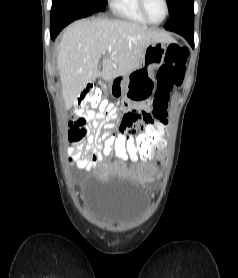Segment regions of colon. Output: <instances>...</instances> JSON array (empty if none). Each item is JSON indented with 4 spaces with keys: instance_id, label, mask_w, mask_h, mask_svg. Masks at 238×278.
<instances>
[{
    "instance_id": "5ec220e1",
    "label": "colon",
    "mask_w": 238,
    "mask_h": 278,
    "mask_svg": "<svg viewBox=\"0 0 238 278\" xmlns=\"http://www.w3.org/2000/svg\"><path fill=\"white\" fill-rule=\"evenodd\" d=\"M188 50L178 44H170L165 52L164 63L157 70V90L153 100V116L156 123L147 124V129H168L165 119L171 93L183 81ZM94 116L103 117L106 122L98 132L97 142L100 156L120 159L121 162H147L156 156L157 149H166L167 141L162 140L166 130H145L136 137H119L117 127L121 124L122 113L97 88H86L76 99L73 120L68 124L69 139L80 140L86 135V124ZM146 135V137H145ZM116 153V154H115Z\"/></svg>"
}]
</instances>
